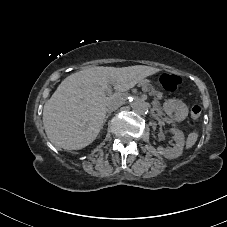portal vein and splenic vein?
<instances>
[{"instance_id": "18ae733b", "label": "portal vein and splenic vein", "mask_w": 227, "mask_h": 227, "mask_svg": "<svg viewBox=\"0 0 227 227\" xmlns=\"http://www.w3.org/2000/svg\"><path fill=\"white\" fill-rule=\"evenodd\" d=\"M140 88H141L143 91H145V90L147 89L144 85H142Z\"/></svg>"}]
</instances>
